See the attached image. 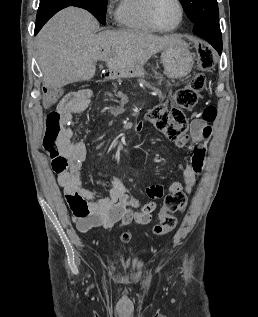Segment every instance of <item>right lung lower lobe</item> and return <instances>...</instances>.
Returning a JSON list of instances; mask_svg holds the SVG:
<instances>
[{
	"label": "right lung lower lobe",
	"mask_w": 258,
	"mask_h": 317,
	"mask_svg": "<svg viewBox=\"0 0 258 317\" xmlns=\"http://www.w3.org/2000/svg\"><path fill=\"white\" fill-rule=\"evenodd\" d=\"M69 6L80 7L92 13L88 0H40L34 35L55 13Z\"/></svg>",
	"instance_id": "1"
}]
</instances>
